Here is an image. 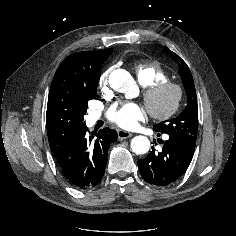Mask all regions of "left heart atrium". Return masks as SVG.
<instances>
[{"label": "left heart atrium", "mask_w": 236, "mask_h": 236, "mask_svg": "<svg viewBox=\"0 0 236 236\" xmlns=\"http://www.w3.org/2000/svg\"><path fill=\"white\" fill-rule=\"evenodd\" d=\"M146 117L145 110L136 103H122L112 107L109 118L124 129H134Z\"/></svg>", "instance_id": "obj_1"}]
</instances>
